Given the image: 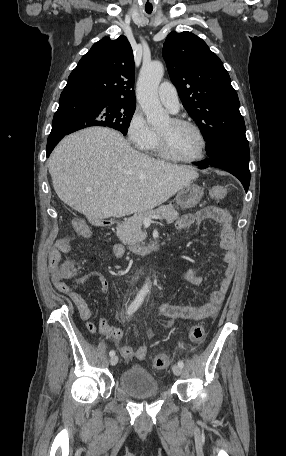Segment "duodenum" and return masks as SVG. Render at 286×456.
<instances>
[{"label":"duodenum","instance_id":"410a0bca","mask_svg":"<svg viewBox=\"0 0 286 456\" xmlns=\"http://www.w3.org/2000/svg\"><path fill=\"white\" fill-rule=\"evenodd\" d=\"M100 225L102 226H108L110 222H107L106 219L104 218H99L98 219ZM168 240H161V241H156V242H145L142 244H133L131 245V251L135 254L138 255H145L154 251L160 250Z\"/></svg>","mask_w":286,"mask_h":456}]
</instances>
